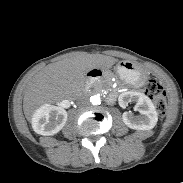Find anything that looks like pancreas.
<instances>
[{"instance_id": "pancreas-1", "label": "pancreas", "mask_w": 183, "mask_h": 183, "mask_svg": "<svg viewBox=\"0 0 183 183\" xmlns=\"http://www.w3.org/2000/svg\"><path fill=\"white\" fill-rule=\"evenodd\" d=\"M99 84H100V83H95V84H94V86H95V87H98V86H99Z\"/></svg>"}]
</instances>
